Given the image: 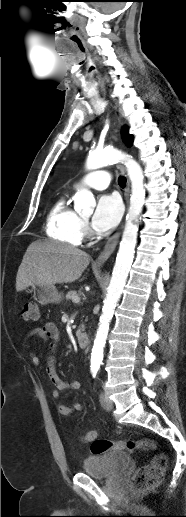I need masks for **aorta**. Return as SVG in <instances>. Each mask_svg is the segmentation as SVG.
Masks as SVG:
<instances>
[{"instance_id":"obj_1","label":"aorta","mask_w":186,"mask_h":517,"mask_svg":"<svg viewBox=\"0 0 186 517\" xmlns=\"http://www.w3.org/2000/svg\"><path fill=\"white\" fill-rule=\"evenodd\" d=\"M124 162L131 181L130 206L120 242L112 277L104 300L94 345L91 353V370L97 371L103 360V349L106 343L109 324L114 314L130 271L135 246L137 243L138 222L145 200L144 175L140 165L132 157L114 148L91 151L86 160L88 170L97 169L107 164ZM95 204L93 194L87 189L78 190L74 196V207L77 211L86 212Z\"/></svg>"}]
</instances>
